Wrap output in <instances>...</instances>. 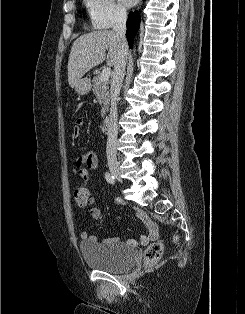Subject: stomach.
<instances>
[{"label": "stomach", "mask_w": 245, "mask_h": 314, "mask_svg": "<svg viewBox=\"0 0 245 314\" xmlns=\"http://www.w3.org/2000/svg\"><path fill=\"white\" fill-rule=\"evenodd\" d=\"M91 90V82L88 78H80L76 85H75V91L79 95H85L89 93Z\"/></svg>", "instance_id": "1"}]
</instances>
